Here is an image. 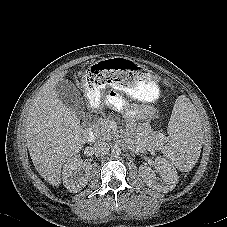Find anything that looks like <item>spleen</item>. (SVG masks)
I'll return each mask as SVG.
<instances>
[{
	"label": "spleen",
	"mask_w": 227,
	"mask_h": 227,
	"mask_svg": "<svg viewBox=\"0 0 227 227\" xmlns=\"http://www.w3.org/2000/svg\"><path fill=\"white\" fill-rule=\"evenodd\" d=\"M174 115L169 132L172 143L166 148V156L182 172L195 165L200 155L203 133L201 123L194 111V104L187 97H180L173 104Z\"/></svg>",
	"instance_id": "3e777b00"
}]
</instances>
